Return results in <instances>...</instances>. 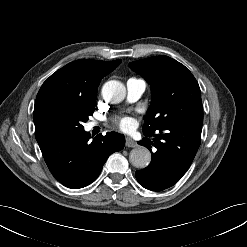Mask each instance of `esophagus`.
<instances>
[{
	"label": "esophagus",
	"mask_w": 247,
	"mask_h": 247,
	"mask_svg": "<svg viewBox=\"0 0 247 247\" xmlns=\"http://www.w3.org/2000/svg\"><path fill=\"white\" fill-rule=\"evenodd\" d=\"M126 146H127V147L135 148V147H137L138 145H137V143H136L133 139L127 137V138H126Z\"/></svg>",
	"instance_id": "1"
}]
</instances>
